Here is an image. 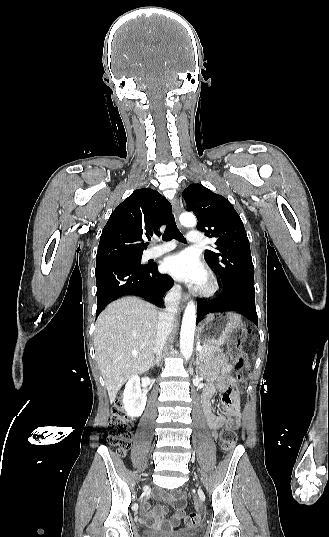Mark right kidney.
I'll return each instance as SVG.
<instances>
[{
	"label": "right kidney",
	"instance_id": "ca27d5eb",
	"mask_svg": "<svg viewBox=\"0 0 329 537\" xmlns=\"http://www.w3.org/2000/svg\"><path fill=\"white\" fill-rule=\"evenodd\" d=\"M147 397L142 393L140 386V378L138 376L131 377L126 383L123 392V404L126 413L131 417H139L142 415Z\"/></svg>",
	"mask_w": 329,
	"mask_h": 537
}]
</instances>
